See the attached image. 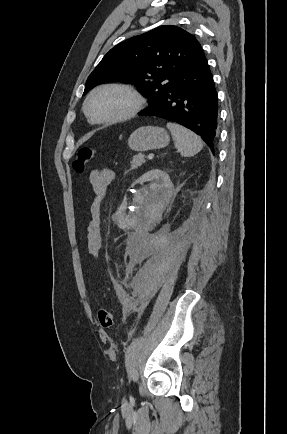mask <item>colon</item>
<instances>
[{
	"instance_id": "colon-1",
	"label": "colon",
	"mask_w": 287,
	"mask_h": 434,
	"mask_svg": "<svg viewBox=\"0 0 287 434\" xmlns=\"http://www.w3.org/2000/svg\"><path fill=\"white\" fill-rule=\"evenodd\" d=\"M94 149L90 147L81 148L73 161V169L77 173H83L94 156ZM98 321L104 329H111L114 326L115 318L111 311L105 308H100L97 312Z\"/></svg>"
}]
</instances>
